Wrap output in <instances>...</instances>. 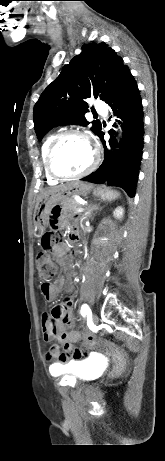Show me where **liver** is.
<instances>
[{
	"label": "liver",
	"mask_w": 165,
	"mask_h": 461,
	"mask_svg": "<svg viewBox=\"0 0 165 461\" xmlns=\"http://www.w3.org/2000/svg\"><path fill=\"white\" fill-rule=\"evenodd\" d=\"M62 189H64V188H62V187H57V188H52V189H50V190H47V191L43 192V193L40 195V197H39V201H41L42 198H44L45 196H47V195H49V194H52V193L59 192V191L62 190Z\"/></svg>",
	"instance_id": "liver-1"
}]
</instances>
